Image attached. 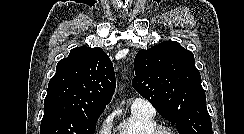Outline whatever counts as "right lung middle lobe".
<instances>
[{
  "mask_svg": "<svg viewBox=\"0 0 244 134\" xmlns=\"http://www.w3.org/2000/svg\"><path fill=\"white\" fill-rule=\"evenodd\" d=\"M99 116L61 104H50L44 106L40 134H94Z\"/></svg>",
  "mask_w": 244,
  "mask_h": 134,
  "instance_id": "1",
  "label": "right lung middle lobe"
}]
</instances>
